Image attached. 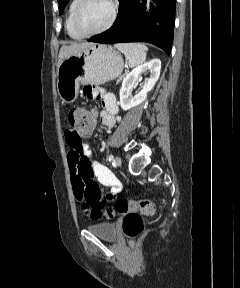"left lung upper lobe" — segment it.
I'll use <instances>...</instances> for the list:
<instances>
[{
	"mask_svg": "<svg viewBox=\"0 0 240 288\" xmlns=\"http://www.w3.org/2000/svg\"><path fill=\"white\" fill-rule=\"evenodd\" d=\"M69 0H58L59 3V11L62 12L65 5L68 3Z\"/></svg>",
	"mask_w": 240,
	"mask_h": 288,
	"instance_id": "1",
	"label": "left lung upper lobe"
}]
</instances>
